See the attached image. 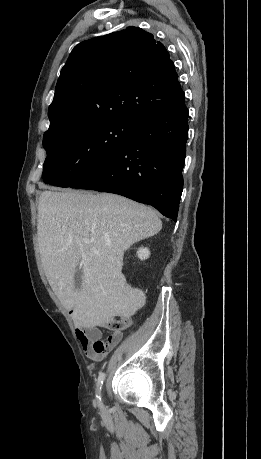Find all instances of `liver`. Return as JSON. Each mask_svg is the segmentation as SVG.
<instances>
[{
  "instance_id": "1",
  "label": "liver",
  "mask_w": 261,
  "mask_h": 459,
  "mask_svg": "<svg viewBox=\"0 0 261 459\" xmlns=\"http://www.w3.org/2000/svg\"><path fill=\"white\" fill-rule=\"evenodd\" d=\"M162 222L150 207L123 196L76 190L43 191L37 235L48 282L80 327L105 325L129 312L132 292L121 273L124 252L154 236ZM93 238L92 243L84 239ZM82 268V285L74 275Z\"/></svg>"
}]
</instances>
